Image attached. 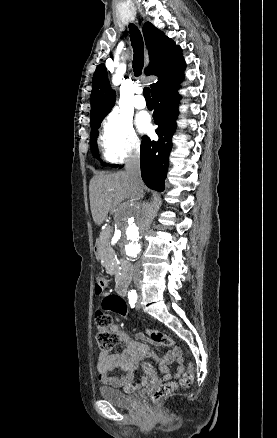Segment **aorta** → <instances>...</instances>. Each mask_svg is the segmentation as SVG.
<instances>
[{
	"label": "aorta",
	"mask_w": 277,
	"mask_h": 438,
	"mask_svg": "<svg viewBox=\"0 0 277 438\" xmlns=\"http://www.w3.org/2000/svg\"><path fill=\"white\" fill-rule=\"evenodd\" d=\"M147 231L148 220L142 210H126L119 213L114 237L126 258L133 260L140 256Z\"/></svg>",
	"instance_id": "obj_1"
}]
</instances>
